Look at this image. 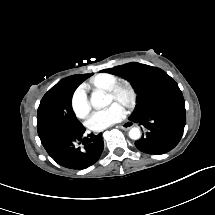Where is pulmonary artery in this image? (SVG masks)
<instances>
[{"label":"pulmonary artery","mask_w":215,"mask_h":215,"mask_svg":"<svg viewBox=\"0 0 215 215\" xmlns=\"http://www.w3.org/2000/svg\"><path fill=\"white\" fill-rule=\"evenodd\" d=\"M114 84V77L111 74L95 76L92 79V86L95 89L111 87Z\"/></svg>","instance_id":"pulmonary-artery-1"}]
</instances>
